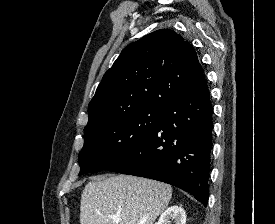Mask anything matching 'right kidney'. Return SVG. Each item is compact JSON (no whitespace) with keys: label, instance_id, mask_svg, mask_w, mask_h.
Returning a JSON list of instances; mask_svg holds the SVG:
<instances>
[{"label":"right kidney","instance_id":"obj_1","mask_svg":"<svg viewBox=\"0 0 275 224\" xmlns=\"http://www.w3.org/2000/svg\"><path fill=\"white\" fill-rule=\"evenodd\" d=\"M185 224L186 214L181 206L173 205L167 208L160 216L159 220L155 224Z\"/></svg>","mask_w":275,"mask_h":224}]
</instances>
